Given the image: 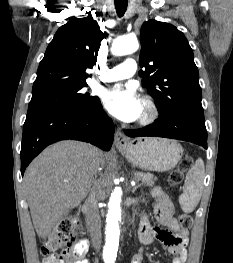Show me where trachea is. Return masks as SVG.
Listing matches in <instances>:
<instances>
[{
  "instance_id": "trachea-1",
  "label": "trachea",
  "mask_w": 233,
  "mask_h": 263,
  "mask_svg": "<svg viewBox=\"0 0 233 263\" xmlns=\"http://www.w3.org/2000/svg\"><path fill=\"white\" fill-rule=\"evenodd\" d=\"M127 4H128L127 0H115V8H116L117 15L119 17H122L124 13L126 12Z\"/></svg>"
}]
</instances>
